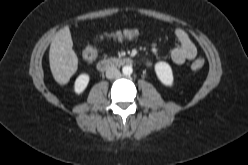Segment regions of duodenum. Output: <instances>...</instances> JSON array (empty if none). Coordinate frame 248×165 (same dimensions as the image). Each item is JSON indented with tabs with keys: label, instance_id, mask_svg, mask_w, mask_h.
Returning <instances> with one entry per match:
<instances>
[{
	"label": "duodenum",
	"instance_id": "duodenum-1",
	"mask_svg": "<svg viewBox=\"0 0 248 165\" xmlns=\"http://www.w3.org/2000/svg\"><path fill=\"white\" fill-rule=\"evenodd\" d=\"M133 60L130 57H114L102 59L97 63V69L99 71H105L108 68L115 66H125L132 64Z\"/></svg>",
	"mask_w": 248,
	"mask_h": 165
}]
</instances>
